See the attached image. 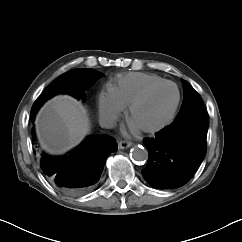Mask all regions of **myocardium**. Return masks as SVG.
I'll return each mask as SVG.
<instances>
[{"label": "myocardium", "mask_w": 242, "mask_h": 242, "mask_svg": "<svg viewBox=\"0 0 242 242\" xmlns=\"http://www.w3.org/2000/svg\"><path fill=\"white\" fill-rule=\"evenodd\" d=\"M164 85H172L173 87H175L176 92H177V98H176L175 105H174L171 113L169 114L168 118L160 125L155 126V127H150V128H137L138 131H140L141 133L156 134V133L166 129L168 126H170L173 123L174 119L176 118V115L178 113L180 103H181V92H180L178 85L175 82L169 81V80H164V81H161L159 83L149 86L146 90H144L138 97H136L129 104L128 119L131 122V118H132V115H133L135 109L139 105L144 103L157 89H159L160 87H162Z\"/></svg>", "instance_id": "myocardium-1"}]
</instances>
